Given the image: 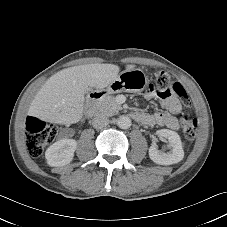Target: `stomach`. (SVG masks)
I'll use <instances>...</instances> for the list:
<instances>
[{"mask_svg": "<svg viewBox=\"0 0 227 227\" xmlns=\"http://www.w3.org/2000/svg\"><path fill=\"white\" fill-rule=\"evenodd\" d=\"M148 84V78L140 69H131L121 72L107 87V93H139Z\"/></svg>", "mask_w": 227, "mask_h": 227, "instance_id": "1", "label": "stomach"}]
</instances>
